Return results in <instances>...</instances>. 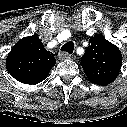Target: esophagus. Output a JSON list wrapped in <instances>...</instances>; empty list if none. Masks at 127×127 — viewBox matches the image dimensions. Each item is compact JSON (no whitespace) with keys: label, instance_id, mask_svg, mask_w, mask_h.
<instances>
[{"label":"esophagus","instance_id":"34e87169","mask_svg":"<svg viewBox=\"0 0 127 127\" xmlns=\"http://www.w3.org/2000/svg\"><path fill=\"white\" fill-rule=\"evenodd\" d=\"M58 58L60 60H67V59H70L71 58V54L67 53V52H60L58 54Z\"/></svg>","mask_w":127,"mask_h":127}]
</instances>
